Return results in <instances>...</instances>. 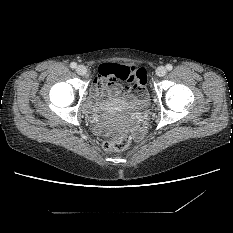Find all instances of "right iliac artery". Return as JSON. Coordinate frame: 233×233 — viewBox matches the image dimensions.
Instances as JSON below:
<instances>
[{"mask_svg":"<svg viewBox=\"0 0 233 233\" xmlns=\"http://www.w3.org/2000/svg\"><path fill=\"white\" fill-rule=\"evenodd\" d=\"M76 66H77V64H76L75 62H72V63L70 64V67H71V68H76Z\"/></svg>","mask_w":233,"mask_h":233,"instance_id":"right-iliac-artery-1","label":"right iliac artery"}]
</instances>
